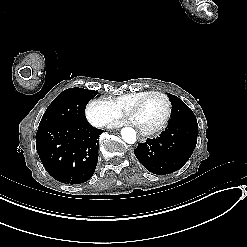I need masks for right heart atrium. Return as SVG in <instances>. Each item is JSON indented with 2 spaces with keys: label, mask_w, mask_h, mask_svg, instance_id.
<instances>
[{
  "label": "right heart atrium",
  "mask_w": 247,
  "mask_h": 247,
  "mask_svg": "<svg viewBox=\"0 0 247 247\" xmlns=\"http://www.w3.org/2000/svg\"><path fill=\"white\" fill-rule=\"evenodd\" d=\"M114 107L110 100L92 98L85 107L87 120L95 127H106L112 123Z\"/></svg>",
  "instance_id": "obj_1"
}]
</instances>
